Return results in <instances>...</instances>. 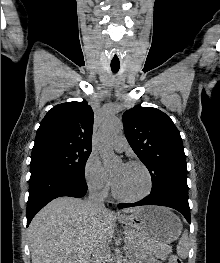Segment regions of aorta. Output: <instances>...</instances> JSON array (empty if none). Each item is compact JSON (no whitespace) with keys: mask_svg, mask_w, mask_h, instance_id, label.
<instances>
[{"mask_svg":"<svg viewBox=\"0 0 220 263\" xmlns=\"http://www.w3.org/2000/svg\"><path fill=\"white\" fill-rule=\"evenodd\" d=\"M121 128L122 122L116 117L106 118L100 127L97 145L103 164L107 169L119 161L113 152V139Z\"/></svg>","mask_w":220,"mask_h":263,"instance_id":"762f6f07","label":"aorta"}]
</instances>
